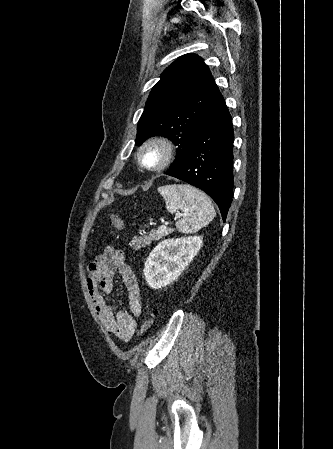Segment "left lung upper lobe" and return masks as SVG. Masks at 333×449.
Returning <instances> with one entry per match:
<instances>
[{
    "mask_svg": "<svg viewBox=\"0 0 333 449\" xmlns=\"http://www.w3.org/2000/svg\"><path fill=\"white\" fill-rule=\"evenodd\" d=\"M220 91L204 60L195 54L179 57L152 88L137 128L136 145L162 135L177 146L170 168L185 160L193 137Z\"/></svg>",
    "mask_w": 333,
    "mask_h": 449,
    "instance_id": "left-lung-upper-lobe-1",
    "label": "left lung upper lobe"
}]
</instances>
